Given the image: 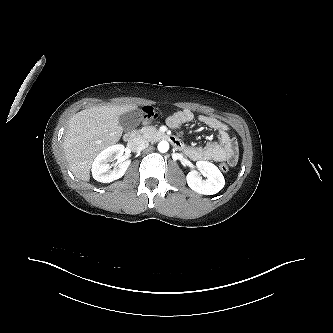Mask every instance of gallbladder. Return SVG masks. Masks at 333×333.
<instances>
[{"label": "gallbladder", "mask_w": 333, "mask_h": 333, "mask_svg": "<svg viewBox=\"0 0 333 333\" xmlns=\"http://www.w3.org/2000/svg\"><path fill=\"white\" fill-rule=\"evenodd\" d=\"M141 120V113L137 110H131L129 112H126L122 114L119 117V123L122 126V128L127 131H133L135 127L139 124Z\"/></svg>", "instance_id": "bac80fb5"}]
</instances>
